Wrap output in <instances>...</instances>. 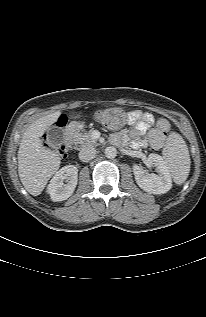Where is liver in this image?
I'll list each match as a JSON object with an SVG mask.
<instances>
[{"mask_svg": "<svg viewBox=\"0 0 206 317\" xmlns=\"http://www.w3.org/2000/svg\"><path fill=\"white\" fill-rule=\"evenodd\" d=\"M56 111L33 121L22 135L18 150V173L24 188L33 196L41 194L60 167L55 151L43 147L41 137L58 120Z\"/></svg>", "mask_w": 206, "mask_h": 317, "instance_id": "6515ba94", "label": "liver"}]
</instances>
